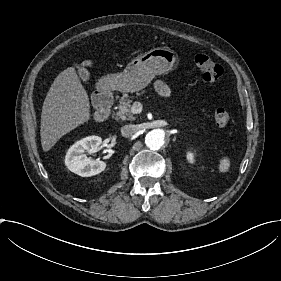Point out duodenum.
<instances>
[{
    "label": "duodenum",
    "instance_id": "duodenum-1",
    "mask_svg": "<svg viewBox=\"0 0 281 281\" xmlns=\"http://www.w3.org/2000/svg\"><path fill=\"white\" fill-rule=\"evenodd\" d=\"M95 104L97 106L96 119L104 121L109 116L112 106V96L107 92H100L95 96Z\"/></svg>",
    "mask_w": 281,
    "mask_h": 281
}]
</instances>
